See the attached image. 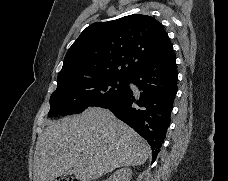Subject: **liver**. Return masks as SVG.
Here are the masks:
<instances>
[{
	"label": "liver",
	"mask_w": 228,
	"mask_h": 181,
	"mask_svg": "<svg viewBox=\"0 0 228 181\" xmlns=\"http://www.w3.org/2000/svg\"><path fill=\"white\" fill-rule=\"evenodd\" d=\"M150 145L108 109L48 123L36 143L33 181H54L73 169L77 181H95L119 167L146 163Z\"/></svg>",
	"instance_id": "6515ba94"
}]
</instances>
